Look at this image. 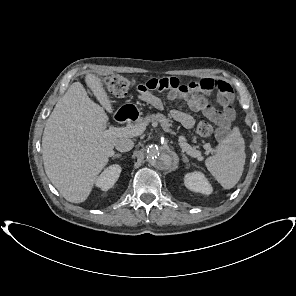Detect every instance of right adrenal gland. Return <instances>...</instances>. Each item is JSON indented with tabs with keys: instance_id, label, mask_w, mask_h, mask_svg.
Returning a JSON list of instances; mask_svg holds the SVG:
<instances>
[{
	"instance_id": "obj_1",
	"label": "right adrenal gland",
	"mask_w": 296,
	"mask_h": 296,
	"mask_svg": "<svg viewBox=\"0 0 296 296\" xmlns=\"http://www.w3.org/2000/svg\"><path fill=\"white\" fill-rule=\"evenodd\" d=\"M122 154L117 153V154H113L112 159H117V158H121Z\"/></svg>"
}]
</instances>
